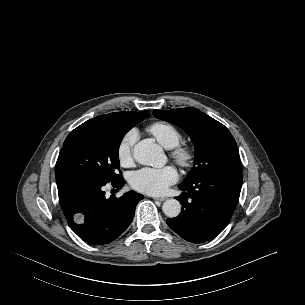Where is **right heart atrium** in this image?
Here are the masks:
<instances>
[{
  "label": "right heart atrium",
  "mask_w": 305,
  "mask_h": 305,
  "mask_svg": "<svg viewBox=\"0 0 305 305\" xmlns=\"http://www.w3.org/2000/svg\"><path fill=\"white\" fill-rule=\"evenodd\" d=\"M137 139L134 130L129 131L120 141L117 148L119 162L124 167H129L133 163V148Z\"/></svg>",
  "instance_id": "obj_1"
}]
</instances>
